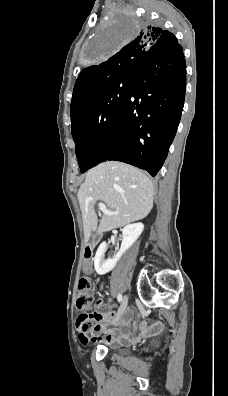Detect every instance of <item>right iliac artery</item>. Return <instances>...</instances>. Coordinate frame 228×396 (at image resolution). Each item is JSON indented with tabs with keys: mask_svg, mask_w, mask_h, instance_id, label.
Segmentation results:
<instances>
[{
	"mask_svg": "<svg viewBox=\"0 0 228 396\" xmlns=\"http://www.w3.org/2000/svg\"><path fill=\"white\" fill-rule=\"evenodd\" d=\"M117 299H118L119 302H121L122 301V295L118 294Z\"/></svg>",
	"mask_w": 228,
	"mask_h": 396,
	"instance_id": "82829eb1",
	"label": "right iliac artery"
}]
</instances>
